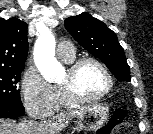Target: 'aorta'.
<instances>
[{
	"mask_svg": "<svg viewBox=\"0 0 153 134\" xmlns=\"http://www.w3.org/2000/svg\"><path fill=\"white\" fill-rule=\"evenodd\" d=\"M34 60L47 82H53L62 69L61 64L55 58V38L48 29H44L36 40Z\"/></svg>",
	"mask_w": 153,
	"mask_h": 134,
	"instance_id": "762f6f07",
	"label": "aorta"
}]
</instances>
